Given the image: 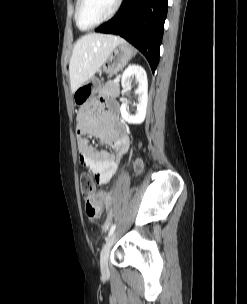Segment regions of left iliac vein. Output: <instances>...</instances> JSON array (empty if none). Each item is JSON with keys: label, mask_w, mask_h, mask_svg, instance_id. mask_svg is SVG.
Segmentation results:
<instances>
[{"label": "left iliac vein", "mask_w": 247, "mask_h": 304, "mask_svg": "<svg viewBox=\"0 0 247 304\" xmlns=\"http://www.w3.org/2000/svg\"><path fill=\"white\" fill-rule=\"evenodd\" d=\"M117 235H118V230L113 232V234L107 239V241L102 249L101 256H100V266H101V271L103 274L108 273L109 253H110V249H111L113 243L115 242Z\"/></svg>", "instance_id": "obj_1"}]
</instances>
